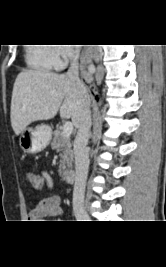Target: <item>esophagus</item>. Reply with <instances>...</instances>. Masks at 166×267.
I'll return each instance as SVG.
<instances>
[{"mask_svg":"<svg viewBox=\"0 0 166 267\" xmlns=\"http://www.w3.org/2000/svg\"><path fill=\"white\" fill-rule=\"evenodd\" d=\"M84 78L87 82H91L92 81V77L90 76V74L84 72Z\"/></svg>","mask_w":166,"mask_h":267,"instance_id":"34e87169","label":"esophagus"}]
</instances>
